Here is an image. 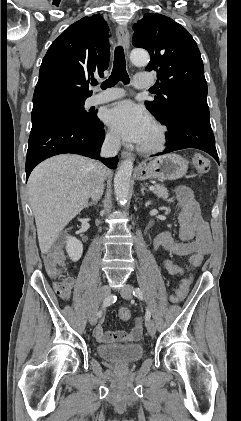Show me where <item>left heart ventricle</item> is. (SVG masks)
<instances>
[{
    "mask_svg": "<svg viewBox=\"0 0 241 421\" xmlns=\"http://www.w3.org/2000/svg\"><path fill=\"white\" fill-rule=\"evenodd\" d=\"M154 139H155V130H154L153 127H151L147 136H146V138L144 139V141L141 144H143V145L150 144L154 141Z\"/></svg>",
    "mask_w": 241,
    "mask_h": 421,
    "instance_id": "obj_1",
    "label": "left heart ventricle"
}]
</instances>
